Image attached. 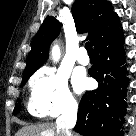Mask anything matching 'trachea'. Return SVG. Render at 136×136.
Masks as SVG:
<instances>
[{"label":"trachea","instance_id":"3493384b","mask_svg":"<svg viewBox=\"0 0 136 136\" xmlns=\"http://www.w3.org/2000/svg\"><path fill=\"white\" fill-rule=\"evenodd\" d=\"M85 48H86L89 55H94L93 48H92V45L90 42H87L85 44Z\"/></svg>","mask_w":136,"mask_h":136}]
</instances>
